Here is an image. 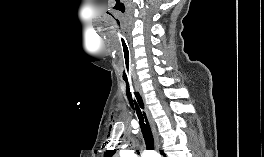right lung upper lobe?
<instances>
[{
    "label": "right lung upper lobe",
    "instance_id": "right-lung-upper-lobe-1",
    "mask_svg": "<svg viewBox=\"0 0 264 157\" xmlns=\"http://www.w3.org/2000/svg\"><path fill=\"white\" fill-rule=\"evenodd\" d=\"M115 153V150H107L105 153V157H112Z\"/></svg>",
    "mask_w": 264,
    "mask_h": 157
}]
</instances>
